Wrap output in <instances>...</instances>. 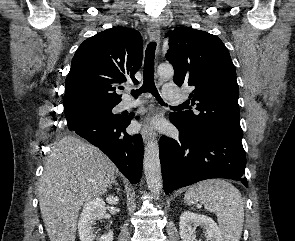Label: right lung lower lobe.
<instances>
[{"mask_svg": "<svg viewBox=\"0 0 295 241\" xmlns=\"http://www.w3.org/2000/svg\"><path fill=\"white\" fill-rule=\"evenodd\" d=\"M134 115L121 118L92 116L70 121L68 129L103 151L133 184L142 172L143 141L140 134L129 135L126 127Z\"/></svg>", "mask_w": 295, "mask_h": 241, "instance_id": "obj_1", "label": "right lung lower lobe"}]
</instances>
